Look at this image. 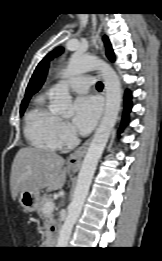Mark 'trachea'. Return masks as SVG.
Here are the masks:
<instances>
[{
    "instance_id": "1",
    "label": "trachea",
    "mask_w": 162,
    "mask_h": 261,
    "mask_svg": "<svg viewBox=\"0 0 162 261\" xmlns=\"http://www.w3.org/2000/svg\"><path fill=\"white\" fill-rule=\"evenodd\" d=\"M96 87H97V89L102 90L103 89L102 82H98Z\"/></svg>"
}]
</instances>
